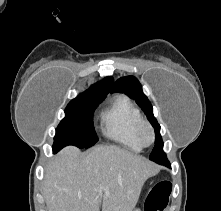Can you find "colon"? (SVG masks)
<instances>
[{
    "label": "colon",
    "instance_id": "obj_1",
    "mask_svg": "<svg viewBox=\"0 0 221 211\" xmlns=\"http://www.w3.org/2000/svg\"><path fill=\"white\" fill-rule=\"evenodd\" d=\"M172 185L168 181L153 186L145 201V211H163L169 201Z\"/></svg>",
    "mask_w": 221,
    "mask_h": 211
}]
</instances>
